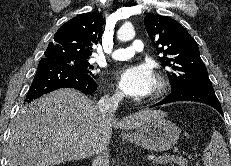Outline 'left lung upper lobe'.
I'll return each instance as SVG.
<instances>
[{"label":"left lung upper lobe","instance_id":"left-lung-upper-lobe-1","mask_svg":"<svg viewBox=\"0 0 231 166\" xmlns=\"http://www.w3.org/2000/svg\"><path fill=\"white\" fill-rule=\"evenodd\" d=\"M144 25L163 67L169 69L171 91L186 85L212 86L200 58L196 41L176 20L160 15H147Z\"/></svg>","mask_w":231,"mask_h":166}]
</instances>
